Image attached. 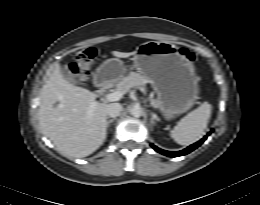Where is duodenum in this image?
Returning <instances> with one entry per match:
<instances>
[{"label":"duodenum","mask_w":260,"mask_h":205,"mask_svg":"<svg viewBox=\"0 0 260 205\" xmlns=\"http://www.w3.org/2000/svg\"><path fill=\"white\" fill-rule=\"evenodd\" d=\"M95 82L97 84V92L99 95L105 94L110 87V84L100 74L95 76Z\"/></svg>","instance_id":"obj_1"}]
</instances>
